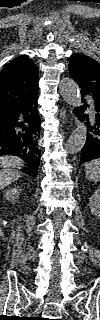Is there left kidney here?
<instances>
[{"label": "left kidney", "mask_w": 100, "mask_h": 320, "mask_svg": "<svg viewBox=\"0 0 100 320\" xmlns=\"http://www.w3.org/2000/svg\"><path fill=\"white\" fill-rule=\"evenodd\" d=\"M90 210L94 216L100 215V190L96 189L90 198Z\"/></svg>", "instance_id": "left-kidney-1"}]
</instances>
